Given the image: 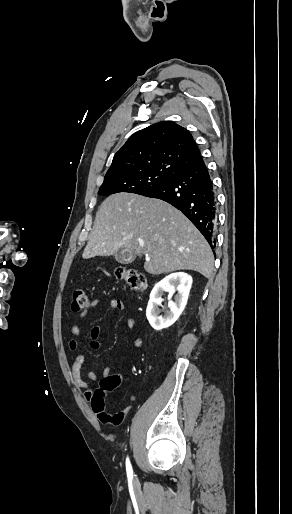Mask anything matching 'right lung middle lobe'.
I'll use <instances>...</instances> for the list:
<instances>
[{
  "label": "right lung middle lobe",
  "instance_id": "right-lung-middle-lobe-1",
  "mask_svg": "<svg viewBox=\"0 0 292 514\" xmlns=\"http://www.w3.org/2000/svg\"><path fill=\"white\" fill-rule=\"evenodd\" d=\"M172 176L168 172H144L104 178L98 194L108 196L118 192L143 195Z\"/></svg>",
  "mask_w": 292,
  "mask_h": 514
}]
</instances>
